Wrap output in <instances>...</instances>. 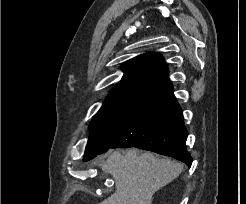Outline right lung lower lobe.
<instances>
[{"label": "right lung lower lobe", "instance_id": "1", "mask_svg": "<svg viewBox=\"0 0 246 204\" xmlns=\"http://www.w3.org/2000/svg\"><path fill=\"white\" fill-rule=\"evenodd\" d=\"M181 111L172 85L161 86L132 103L110 148L149 150L180 160L190 167L192 157L185 145L188 132Z\"/></svg>", "mask_w": 246, "mask_h": 204}]
</instances>
